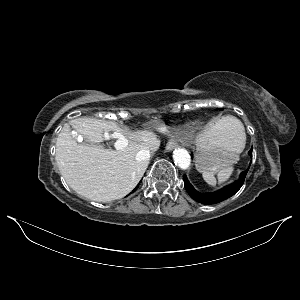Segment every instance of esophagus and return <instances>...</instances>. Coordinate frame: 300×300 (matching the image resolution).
Wrapping results in <instances>:
<instances>
[{
	"label": "esophagus",
	"instance_id": "1",
	"mask_svg": "<svg viewBox=\"0 0 300 300\" xmlns=\"http://www.w3.org/2000/svg\"><path fill=\"white\" fill-rule=\"evenodd\" d=\"M176 147V142L174 140H170L166 145L167 151H172Z\"/></svg>",
	"mask_w": 300,
	"mask_h": 300
}]
</instances>
